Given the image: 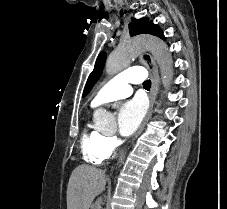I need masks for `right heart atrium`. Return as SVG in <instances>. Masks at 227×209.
Wrapping results in <instances>:
<instances>
[{"instance_id": "right-heart-atrium-1", "label": "right heart atrium", "mask_w": 227, "mask_h": 209, "mask_svg": "<svg viewBox=\"0 0 227 209\" xmlns=\"http://www.w3.org/2000/svg\"><path fill=\"white\" fill-rule=\"evenodd\" d=\"M108 145L114 149L118 145V141L114 136L107 137Z\"/></svg>"}]
</instances>
